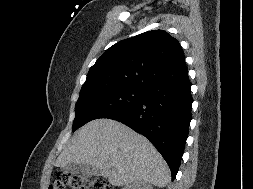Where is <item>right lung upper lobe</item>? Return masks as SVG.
<instances>
[{
	"label": "right lung upper lobe",
	"mask_w": 253,
	"mask_h": 189,
	"mask_svg": "<svg viewBox=\"0 0 253 189\" xmlns=\"http://www.w3.org/2000/svg\"><path fill=\"white\" fill-rule=\"evenodd\" d=\"M188 78L179 42L163 30L122 40L107 49L90 68L80 93L109 86L148 90Z\"/></svg>",
	"instance_id": "1"
}]
</instances>
